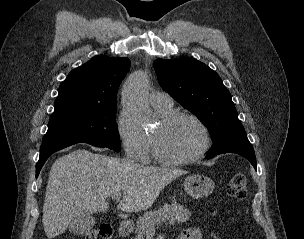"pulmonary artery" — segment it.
Here are the masks:
<instances>
[{
	"instance_id": "obj_1",
	"label": "pulmonary artery",
	"mask_w": 304,
	"mask_h": 239,
	"mask_svg": "<svg viewBox=\"0 0 304 239\" xmlns=\"http://www.w3.org/2000/svg\"><path fill=\"white\" fill-rule=\"evenodd\" d=\"M150 103L153 106H172L173 100L169 94L156 91L150 94Z\"/></svg>"
}]
</instances>
